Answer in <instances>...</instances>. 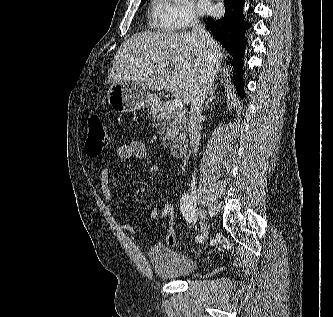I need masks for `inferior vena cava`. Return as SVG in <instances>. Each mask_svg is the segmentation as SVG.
Here are the masks:
<instances>
[{
  "instance_id": "602c4592",
  "label": "inferior vena cava",
  "mask_w": 333,
  "mask_h": 317,
  "mask_svg": "<svg viewBox=\"0 0 333 317\" xmlns=\"http://www.w3.org/2000/svg\"><path fill=\"white\" fill-rule=\"evenodd\" d=\"M199 39L209 43L210 35L206 32L202 25L193 23L192 31ZM214 76V67L212 62L207 65L206 73L200 76L195 82L194 91L191 96V107L189 111L188 120V133L190 138V146L194 155H197L200 144V115L203 107L204 100L211 89ZM191 186H196V173L192 174Z\"/></svg>"
}]
</instances>
